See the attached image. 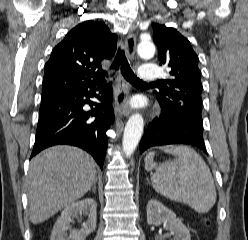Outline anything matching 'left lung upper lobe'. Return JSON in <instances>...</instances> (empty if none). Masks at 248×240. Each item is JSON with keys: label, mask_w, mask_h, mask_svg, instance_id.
Here are the masks:
<instances>
[{"label": "left lung upper lobe", "mask_w": 248, "mask_h": 240, "mask_svg": "<svg viewBox=\"0 0 248 240\" xmlns=\"http://www.w3.org/2000/svg\"><path fill=\"white\" fill-rule=\"evenodd\" d=\"M154 42L161 64L171 67L169 86L155 91L162 112L175 118L202 119V83L198 56L190 42L175 28L154 24Z\"/></svg>", "instance_id": "left-lung-upper-lobe-1"}]
</instances>
